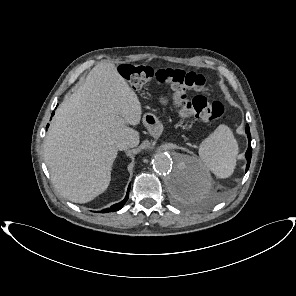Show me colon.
Here are the masks:
<instances>
[{"label":"colon","instance_id":"5ec220e1","mask_svg":"<svg viewBox=\"0 0 296 296\" xmlns=\"http://www.w3.org/2000/svg\"><path fill=\"white\" fill-rule=\"evenodd\" d=\"M121 75L134 89L141 88L152 80L169 84L174 92V102L183 118L196 117L208 122L218 119L224 112L219 101L209 99L204 95L193 98L187 96L189 90L205 91L206 80L201 74L180 68H166L154 70L146 65H123Z\"/></svg>","mask_w":296,"mask_h":296}]
</instances>
